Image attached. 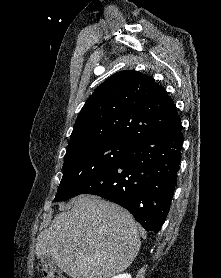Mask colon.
<instances>
[{
  "label": "colon",
  "instance_id": "obj_1",
  "mask_svg": "<svg viewBox=\"0 0 221 278\" xmlns=\"http://www.w3.org/2000/svg\"><path fill=\"white\" fill-rule=\"evenodd\" d=\"M42 273L43 278H66L61 271L50 266H44Z\"/></svg>",
  "mask_w": 221,
  "mask_h": 278
}]
</instances>
